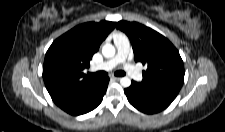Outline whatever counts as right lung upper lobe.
Segmentation results:
<instances>
[{
	"label": "right lung upper lobe",
	"instance_id": "cb5924a9",
	"mask_svg": "<svg viewBox=\"0 0 225 132\" xmlns=\"http://www.w3.org/2000/svg\"><path fill=\"white\" fill-rule=\"evenodd\" d=\"M115 22H88L78 25L57 38L45 55L43 79L56 104L83 95L98 78L88 76V67L102 41L115 28Z\"/></svg>",
	"mask_w": 225,
	"mask_h": 132
}]
</instances>
